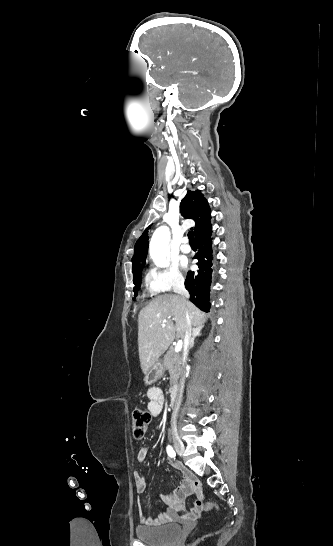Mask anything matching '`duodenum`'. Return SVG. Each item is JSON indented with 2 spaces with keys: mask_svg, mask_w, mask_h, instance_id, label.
<instances>
[{
  "mask_svg": "<svg viewBox=\"0 0 333 546\" xmlns=\"http://www.w3.org/2000/svg\"><path fill=\"white\" fill-rule=\"evenodd\" d=\"M171 403L176 404L178 399V391L177 389L173 388L170 393Z\"/></svg>",
  "mask_w": 333,
  "mask_h": 546,
  "instance_id": "410a0bca",
  "label": "duodenum"
}]
</instances>
